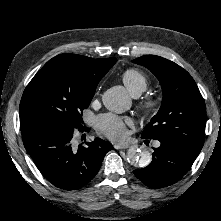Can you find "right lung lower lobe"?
<instances>
[{"label": "right lung lower lobe", "instance_id": "98d812e1", "mask_svg": "<svg viewBox=\"0 0 221 221\" xmlns=\"http://www.w3.org/2000/svg\"><path fill=\"white\" fill-rule=\"evenodd\" d=\"M74 131L62 125H41L22 133L25 149L42 175L65 190H77L88 184L113 148L100 138L77 147Z\"/></svg>", "mask_w": 221, "mask_h": 221}]
</instances>
